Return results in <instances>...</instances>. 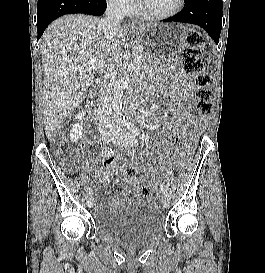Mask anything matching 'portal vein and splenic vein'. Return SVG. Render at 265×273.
I'll return each instance as SVG.
<instances>
[{"instance_id": "portal-vein-and-splenic-vein-1", "label": "portal vein and splenic vein", "mask_w": 265, "mask_h": 273, "mask_svg": "<svg viewBox=\"0 0 265 273\" xmlns=\"http://www.w3.org/2000/svg\"><path fill=\"white\" fill-rule=\"evenodd\" d=\"M140 57H137L139 59ZM109 65L105 63L104 61H100L96 58L90 59L86 64H83L82 66H78L75 68H72L73 71H82L83 69H99L103 70L105 67H108Z\"/></svg>"}]
</instances>
